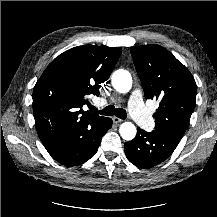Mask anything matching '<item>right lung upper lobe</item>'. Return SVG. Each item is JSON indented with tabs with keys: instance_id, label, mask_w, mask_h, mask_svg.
Returning <instances> with one entry per match:
<instances>
[{
	"instance_id": "obj_1",
	"label": "right lung upper lobe",
	"mask_w": 217,
	"mask_h": 217,
	"mask_svg": "<svg viewBox=\"0 0 217 217\" xmlns=\"http://www.w3.org/2000/svg\"><path fill=\"white\" fill-rule=\"evenodd\" d=\"M122 49L84 45L56 57L43 72L33 90V112L37 133L44 147L79 138L103 120L83 111L89 95L98 96Z\"/></svg>"
}]
</instances>
